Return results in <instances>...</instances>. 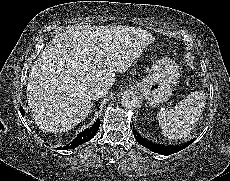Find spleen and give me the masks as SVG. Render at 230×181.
Instances as JSON below:
<instances>
[{
	"label": "spleen",
	"mask_w": 230,
	"mask_h": 181,
	"mask_svg": "<svg viewBox=\"0 0 230 181\" xmlns=\"http://www.w3.org/2000/svg\"><path fill=\"white\" fill-rule=\"evenodd\" d=\"M204 95L195 91L184 97L172 109H161L157 120L162 134L169 139H182L190 135L204 107Z\"/></svg>",
	"instance_id": "spleen-1"
}]
</instances>
